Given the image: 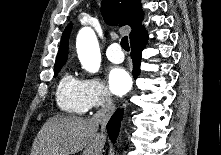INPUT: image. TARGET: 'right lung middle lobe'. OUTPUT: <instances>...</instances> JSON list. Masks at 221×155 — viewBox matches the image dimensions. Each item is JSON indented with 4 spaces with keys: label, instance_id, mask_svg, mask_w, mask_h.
<instances>
[{
    "label": "right lung middle lobe",
    "instance_id": "obj_1",
    "mask_svg": "<svg viewBox=\"0 0 221 155\" xmlns=\"http://www.w3.org/2000/svg\"><path fill=\"white\" fill-rule=\"evenodd\" d=\"M62 66H63V65L54 67V70H55L54 76H56V75L58 74V72L60 71V69L62 68Z\"/></svg>",
    "mask_w": 221,
    "mask_h": 155
}]
</instances>
